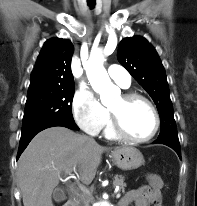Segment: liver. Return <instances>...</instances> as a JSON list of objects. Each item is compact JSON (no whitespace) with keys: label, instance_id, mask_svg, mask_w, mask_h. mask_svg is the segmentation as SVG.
I'll use <instances>...</instances> for the list:
<instances>
[{"label":"liver","instance_id":"1","mask_svg":"<svg viewBox=\"0 0 197 206\" xmlns=\"http://www.w3.org/2000/svg\"><path fill=\"white\" fill-rule=\"evenodd\" d=\"M106 150L92 138L64 127L38 133L18 161L17 179L24 206H53L61 172L74 170L89 185Z\"/></svg>","mask_w":197,"mask_h":206}]
</instances>
